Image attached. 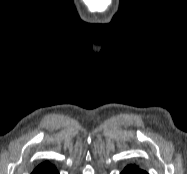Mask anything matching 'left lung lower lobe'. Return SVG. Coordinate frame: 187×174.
<instances>
[{
	"mask_svg": "<svg viewBox=\"0 0 187 174\" xmlns=\"http://www.w3.org/2000/svg\"><path fill=\"white\" fill-rule=\"evenodd\" d=\"M121 174H148L147 172L138 169L137 167L130 165L127 166Z\"/></svg>",
	"mask_w": 187,
	"mask_h": 174,
	"instance_id": "1",
	"label": "left lung lower lobe"
}]
</instances>
